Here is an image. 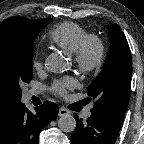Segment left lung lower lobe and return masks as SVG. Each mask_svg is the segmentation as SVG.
Here are the masks:
<instances>
[{"label":"left lung lower lobe","instance_id":"1","mask_svg":"<svg viewBox=\"0 0 144 144\" xmlns=\"http://www.w3.org/2000/svg\"><path fill=\"white\" fill-rule=\"evenodd\" d=\"M74 118L77 125L71 136V144H114L123 124L94 110H91V116L86 122L76 114Z\"/></svg>","mask_w":144,"mask_h":144}]
</instances>
